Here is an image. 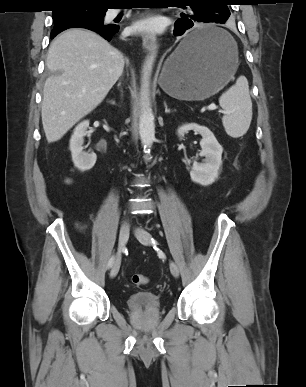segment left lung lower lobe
<instances>
[{"instance_id":"1","label":"left lung lower lobe","mask_w":306,"mask_h":387,"mask_svg":"<svg viewBox=\"0 0 306 387\" xmlns=\"http://www.w3.org/2000/svg\"><path fill=\"white\" fill-rule=\"evenodd\" d=\"M195 18L181 17L175 22L174 35L181 36L185 33L183 43L184 52H193L205 46L215 43L221 39V34L215 30H200L188 32L193 27ZM199 22V21H198Z\"/></svg>"}]
</instances>
